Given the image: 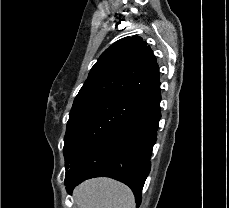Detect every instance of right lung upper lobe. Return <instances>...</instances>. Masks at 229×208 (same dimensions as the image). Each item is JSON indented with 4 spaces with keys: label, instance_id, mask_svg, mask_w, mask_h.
Returning <instances> with one entry per match:
<instances>
[{
    "label": "right lung upper lobe",
    "instance_id": "right-lung-upper-lobe-1",
    "mask_svg": "<svg viewBox=\"0 0 229 208\" xmlns=\"http://www.w3.org/2000/svg\"><path fill=\"white\" fill-rule=\"evenodd\" d=\"M105 96L126 97L145 106L160 97L156 57L141 37L120 39L102 53L73 107Z\"/></svg>",
    "mask_w": 229,
    "mask_h": 208
}]
</instances>
